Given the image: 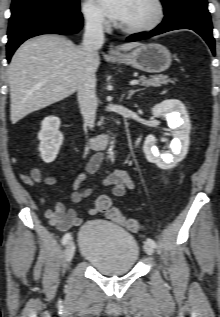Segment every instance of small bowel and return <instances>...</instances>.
<instances>
[{
  "instance_id": "c3829d8e",
  "label": "small bowel",
  "mask_w": 220,
  "mask_h": 317,
  "mask_svg": "<svg viewBox=\"0 0 220 317\" xmlns=\"http://www.w3.org/2000/svg\"><path fill=\"white\" fill-rule=\"evenodd\" d=\"M101 161V156H96L91 159L87 163L85 170L74 180L73 192L70 194L71 202L78 203L95 190L96 186L85 190H81V186L87 180L89 175L96 172L101 164ZM20 178L24 184L30 186L36 183L53 185L57 181L54 176H43L41 171L37 168L33 169L30 174H22ZM101 185L110 187L111 194L115 197H121L125 194L126 189L134 188V182L131 177L125 171L120 169L110 170L107 177L101 181ZM107 199H109L107 195L99 196L94 205L87 208V213L94 216L105 212L103 201ZM40 202L45 204V198L41 197ZM44 214L49 220V223L60 231L69 230L70 228L79 226L82 223V219L77 215V212L72 208H67L63 204H57L54 208L45 209Z\"/></svg>"
}]
</instances>
